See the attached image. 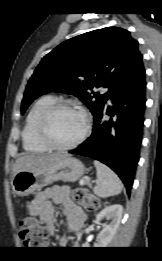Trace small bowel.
Listing matches in <instances>:
<instances>
[{"mask_svg": "<svg viewBox=\"0 0 162 261\" xmlns=\"http://www.w3.org/2000/svg\"><path fill=\"white\" fill-rule=\"evenodd\" d=\"M62 206L69 220L70 229L78 231L82 220L78 217L81 211L74 205L70 198V190L67 186H54L38 192L31 202L29 212L38 217L50 233L55 232L54 208Z\"/></svg>", "mask_w": 162, "mask_h": 261, "instance_id": "small-bowel-1", "label": "small bowel"}]
</instances>
